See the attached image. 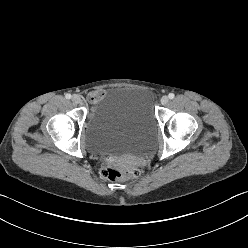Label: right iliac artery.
<instances>
[{"mask_svg":"<svg viewBox=\"0 0 248 248\" xmlns=\"http://www.w3.org/2000/svg\"><path fill=\"white\" fill-rule=\"evenodd\" d=\"M65 97H66V99H70V98H71V94L67 93V94L65 95Z\"/></svg>","mask_w":248,"mask_h":248,"instance_id":"82829eb1","label":"right iliac artery"}]
</instances>
